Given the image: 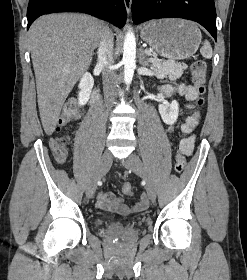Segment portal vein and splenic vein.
<instances>
[{"mask_svg":"<svg viewBox=\"0 0 247 280\" xmlns=\"http://www.w3.org/2000/svg\"><path fill=\"white\" fill-rule=\"evenodd\" d=\"M148 55H151V52H146ZM149 61L150 62H158V61H161L160 59H157L156 57L154 58H149Z\"/></svg>","mask_w":247,"mask_h":280,"instance_id":"portal-vein-and-splenic-vein-1","label":"portal vein and splenic vein"}]
</instances>
